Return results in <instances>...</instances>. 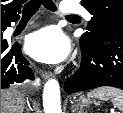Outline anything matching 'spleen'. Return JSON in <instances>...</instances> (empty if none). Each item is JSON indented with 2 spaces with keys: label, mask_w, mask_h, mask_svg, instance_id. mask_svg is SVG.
I'll return each instance as SVG.
<instances>
[{
  "label": "spleen",
  "mask_w": 123,
  "mask_h": 113,
  "mask_svg": "<svg viewBox=\"0 0 123 113\" xmlns=\"http://www.w3.org/2000/svg\"><path fill=\"white\" fill-rule=\"evenodd\" d=\"M88 97L107 101L112 100L120 111H123V91L113 87H101L88 93Z\"/></svg>",
  "instance_id": "1"
}]
</instances>
